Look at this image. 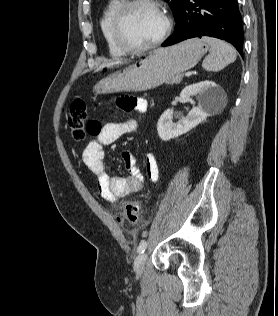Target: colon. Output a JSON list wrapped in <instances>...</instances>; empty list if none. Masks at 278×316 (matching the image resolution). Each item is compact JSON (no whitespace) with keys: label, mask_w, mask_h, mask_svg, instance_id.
I'll return each instance as SVG.
<instances>
[{"label":"colon","mask_w":278,"mask_h":316,"mask_svg":"<svg viewBox=\"0 0 278 316\" xmlns=\"http://www.w3.org/2000/svg\"><path fill=\"white\" fill-rule=\"evenodd\" d=\"M68 125L71 137L75 142H82L87 134L95 135L100 128L99 123L89 121V110L85 101L81 99L74 100L71 103ZM142 218L141 203L137 200H130L124 204L122 219L129 224H137Z\"/></svg>","instance_id":"5ec220e1"}]
</instances>
